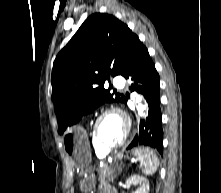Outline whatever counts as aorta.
I'll use <instances>...</instances> for the list:
<instances>
[{
  "mask_svg": "<svg viewBox=\"0 0 221 193\" xmlns=\"http://www.w3.org/2000/svg\"><path fill=\"white\" fill-rule=\"evenodd\" d=\"M142 101V97L140 95H137L135 98V102L137 104L136 108H137V112L139 116H143L145 114V110H146V105H143L141 103Z\"/></svg>",
  "mask_w": 221,
  "mask_h": 193,
  "instance_id": "obj_1",
  "label": "aorta"
}]
</instances>
